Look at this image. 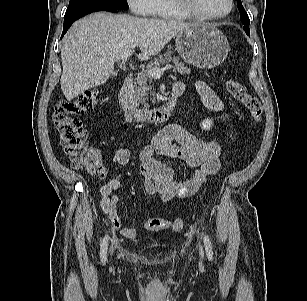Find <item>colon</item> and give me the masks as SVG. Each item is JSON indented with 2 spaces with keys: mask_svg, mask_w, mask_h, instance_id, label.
<instances>
[{
  "mask_svg": "<svg viewBox=\"0 0 307 301\" xmlns=\"http://www.w3.org/2000/svg\"><path fill=\"white\" fill-rule=\"evenodd\" d=\"M225 85L231 97L249 111L252 123L259 124L263 118V107L259 99L248 93L245 86L237 80L229 79ZM97 94V90L91 89L80 93L72 100L61 101L56 106L53 117L62 146L71 158L73 168L83 169L88 173L95 172L96 151L87 145V132L79 116L96 107ZM144 227L152 231L180 232L183 228V220L181 218H147Z\"/></svg>",
  "mask_w": 307,
  "mask_h": 301,
  "instance_id": "colon-1",
  "label": "colon"
}]
</instances>
